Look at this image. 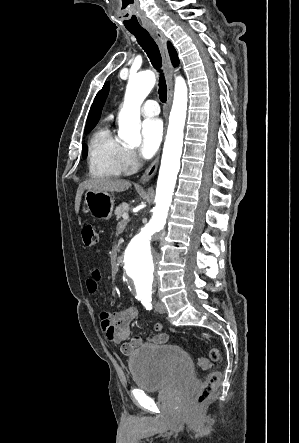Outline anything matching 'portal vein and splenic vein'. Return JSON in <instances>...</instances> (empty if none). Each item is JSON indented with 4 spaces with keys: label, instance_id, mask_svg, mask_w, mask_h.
Listing matches in <instances>:
<instances>
[{
    "label": "portal vein and splenic vein",
    "instance_id": "obj_1",
    "mask_svg": "<svg viewBox=\"0 0 299 443\" xmlns=\"http://www.w3.org/2000/svg\"><path fill=\"white\" fill-rule=\"evenodd\" d=\"M122 217H123L124 220H128L129 219L128 213H124Z\"/></svg>",
    "mask_w": 299,
    "mask_h": 443
}]
</instances>
